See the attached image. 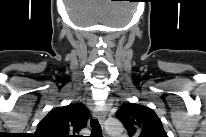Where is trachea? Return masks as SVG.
I'll use <instances>...</instances> for the list:
<instances>
[{
  "label": "trachea",
  "instance_id": "obj_1",
  "mask_svg": "<svg viewBox=\"0 0 206 137\" xmlns=\"http://www.w3.org/2000/svg\"><path fill=\"white\" fill-rule=\"evenodd\" d=\"M90 125L92 127L91 137H102V130L100 125L98 124V121L92 119Z\"/></svg>",
  "mask_w": 206,
  "mask_h": 137
}]
</instances>
